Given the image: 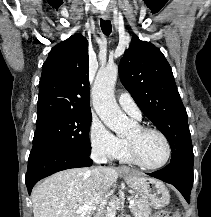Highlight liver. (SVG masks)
Masks as SVG:
<instances>
[{
	"label": "liver",
	"instance_id": "6515ba94",
	"mask_svg": "<svg viewBox=\"0 0 211 217\" xmlns=\"http://www.w3.org/2000/svg\"><path fill=\"white\" fill-rule=\"evenodd\" d=\"M103 193H97L92 169L73 168L57 172L31 193L34 217H91L93 210L77 213L83 206L102 209L106 192L118 179L114 168H103Z\"/></svg>",
	"mask_w": 211,
	"mask_h": 217
}]
</instances>
